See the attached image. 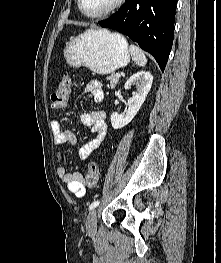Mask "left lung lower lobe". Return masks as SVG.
<instances>
[{
    "label": "left lung lower lobe",
    "mask_w": 221,
    "mask_h": 263,
    "mask_svg": "<svg viewBox=\"0 0 221 263\" xmlns=\"http://www.w3.org/2000/svg\"><path fill=\"white\" fill-rule=\"evenodd\" d=\"M177 0H126L101 27L127 35L149 52L164 71L173 43Z\"/></svg>",
    "instance_id": "0a47b994"
}]
</instances>
